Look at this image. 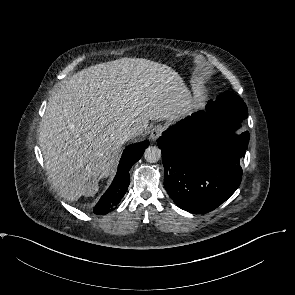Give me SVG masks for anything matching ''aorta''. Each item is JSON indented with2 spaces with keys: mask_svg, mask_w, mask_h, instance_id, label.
Masks as SVG:
<instances>
[{
  "mask_svg": "<svg viewBox=\"0 0 295 295\" xmlns=\"http://www.w3.org/2000/svg\"><path fill=\"white\" fill-rule=\"evenodd\" d=\"M144 157L147 162L156 163L161 158V150L156 146H150L145 150Z\"/></svg>",
  "mask_w": 295,
  "mask_h": 295,
  "instance_id": "aorta-1",
  "label": "aorta"
}]
</instances>
